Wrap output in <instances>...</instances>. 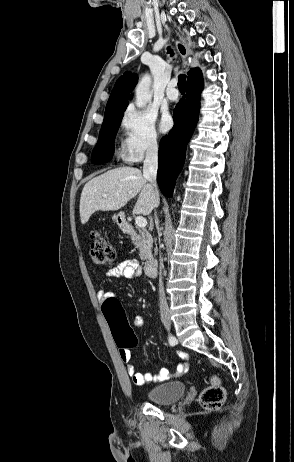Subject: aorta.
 <instances>
[{"instance_id": "762f6f07", "label": "aorta", "mask_w": 294, "mask_h": 462, "mask_svg": "<svg viewBox=\"0 0 294 462\" xmlns=\"http://www.w3.org/2000/svg\"><path fill=\"white\" fill-rule=\"evenodd\" d=\"M150 85H151V77L146 74L138 83L135 94H136V106L138 108L144 107L147 102L152 98V94L150 92Z\"/></svg>"}]
</instances>
